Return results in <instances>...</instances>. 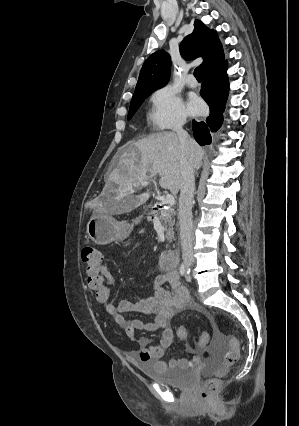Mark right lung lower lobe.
Masks as SVG:
<instances>
[{"label": "right lung lower lobe", "mask_w": 299, "mask_h": 426, "mask_svg": "<svg viewBox=\"0 0 299 426\" xmlns=\"http://www.w3.org/2000/svg\"><path fill=\"white\" fill-rule=\"evenodd\" d=\"M227 62L204 72L201 96L210 108V115L205 121H193V133L200 145L211 144V133L216 132L223 121V112L228 97L229 85L227 80Z\"/></svg>", "instance_id": "1"}]
</instances>
